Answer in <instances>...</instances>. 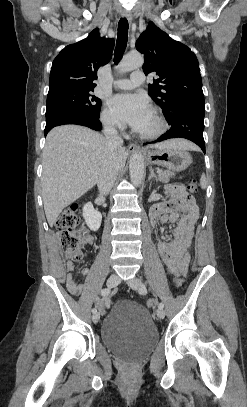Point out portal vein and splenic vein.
<instances>
[{"mask_svg":"<svg viewBox=\"0 0 247 407\" xmlns=\"http://www.w3.org/2000/svg\"><path fill=\"white\" fill-rule=\"evenodd\" d=\"M157 173H158V174L161 173V170H157Z\"/></svg>","mask_w":247,"mask_h":407,"instance_id":"18ae733b","label":"portal vein and splenic vein"}]
</instances>
